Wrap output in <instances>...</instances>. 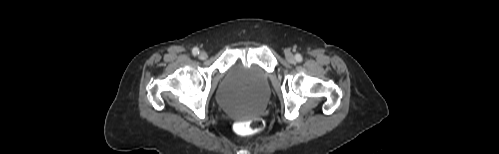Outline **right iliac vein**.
Listing matches in <instances>:
<instances>
[{"label": "right iliac vein", "mask_w": 499, "mask_h": 154, "mask_svg": "<svg viewBox=\"0 0 499 154\" xmlns=\"http://www.w3.org/2000/svg\"><path fill=\"white\" fill-rule=\"evenodd\" d=\"M199 58L204 60L207 58V53L205 51H201L200 54H199Z\"/></svg>", "instance_id": "1"}]
</instances>
